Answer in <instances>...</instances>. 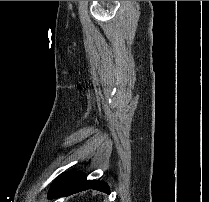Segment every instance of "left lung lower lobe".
<instances>
[{"label": "left lung lower lobe", "mask_w": 209, "mask_h": 202, "mask_svg": "<svg viewBox=\"0 0 209 202\" xmlns=\"http://www.w3.org/2000/svg\"><path fill=\"white\" fill-rule=\"evenodd\" d=\"M94 189L110 194L107 183L103 181L86 180V175L81 172H70L57 178L51 185L48 198L59 197L61 195L78 193L84 190Z\"/></svg>", "instance_id": "left-lung-lower-lobe-1"}]
</instances>
